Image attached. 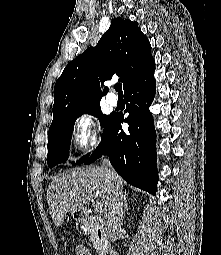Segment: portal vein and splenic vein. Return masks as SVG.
<instances>
[{
	"mask_svg": "<svg viewBox=\"0 0 221 255\" xmlns=\"http://www.w3.org/2000/svg\"><path fill=\"white\" fill-rule=\"evenodd\" d=\"M101 209H102V204L100 202H97L96 205H95V210L99 211Z\"/></svg>",
	"mask_w": 221,
	"mask_h": 255,
	"instance_id": "portal-vein-and-splenic-vein-1",
	"label": "portal vein and splenic vein"
}]
</instances>
